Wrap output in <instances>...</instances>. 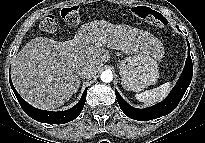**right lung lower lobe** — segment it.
<instances>
[{"label": "right lung lower lobe", "mask_w": 205, "mask_h": 143, "mask_svg": "<svg viewBox=\"0 0 205 143\" xmlns=\"http://www.w3.org/2000/svg\"><path fill=\"white\" fill-rule=\"evenodd\" d=\"M9 82L24 112L27 115H29L31 118H33L34 120L43 122V123L64 124V123L74 120L81 113L84 107L85 101H86V92L88 88L85 89L78 104H76L71 109L66 110V111H61V112L44 111V110H40V109H37L31 106L25 100H23L21 96L18 94V92L15 90L12 84L11 78H9Z\"/></svg>", "instance_id": "obj_1"}]
</instances>
